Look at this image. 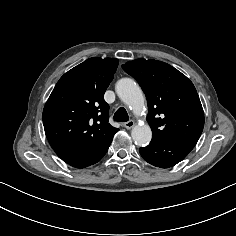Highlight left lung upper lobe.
<instances>
[{"label": "left lung upper lobe", "mask_w": 236, "mask_h": 236, "mask_svg": "<svg viewBox=\"0 0 236 236\" xmlns=\"http://www.w3.org/2000/svg\"><path fill=\"white\" fill-rule=\"evenodd\" d=\"M144 91L152 142H197L204 127V112L193 83L171 65L136 59L122 65Z\"/></svg>", "instance_id": "left-lung-upper-lobe-1"}]
</instances>
